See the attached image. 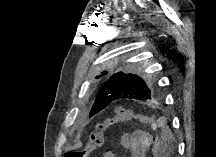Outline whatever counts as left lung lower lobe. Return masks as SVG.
Here are the masks:
<instances>
[{"label":"left lung lower lobe","instance_id":"obj_1","mask_svg":"<svg viewBox=\"0 0 216 157\" xmlns=\"http://www.w3.org/2000/svg\"><path fill=\"white\" fill-rule=\"evenodd\" d=\"M108 106V103H98L97 105L94 104L93 107H92V112L90 113V117L97 114L98 112H100L101 110H103L105 107Z\"/></svg>","mask_w":216,"mask_h":157}]
</instances>
